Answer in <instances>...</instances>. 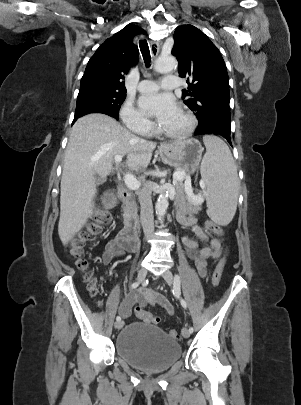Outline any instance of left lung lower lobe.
<instances>
[{"label":"left lung lower lobe","instance_id":"1","mask_svg":"<svg viewBox=\"0 0 301 405\" xmlns=\"http://www.w3.org/2000/svg\"><path fill=\"white\" fill-rule=\"evenodd\" d=\"M194 135H216L222 136L227 139L230 145L231 144V128L228 125L222 123H210L204 126H198Z\"/></svg>","mask_w":301,"mask_h":405}]
</instances>
